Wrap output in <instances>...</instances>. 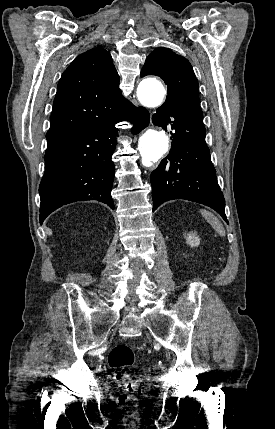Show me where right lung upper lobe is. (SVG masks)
<instances>
[{"instance_id":"cb5924a9","label":"right lung upper lobe","mask_w":275,"mask_h":429,"mask_svg":"<svg viewBox=\"0 0 275 429\" xmlns=\"http://www.w3.org/2000/svg\"><path fill=\"white\" fill-rule=\"evenodd\" d=\"M127 102L110 54L101 47L77 56L59 80L47 140L119 116Z\"/></svg>"}]
</instances>
